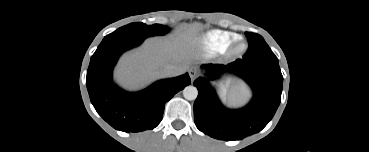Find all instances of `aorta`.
Segmentation results:
<instances>
[{"instance_id": "762f6f07", "label": "aorta", "mask_w": 369, "mask_h": 152, "mask_svg": "<svg viewBox=\"0 0 369 152\" xmlns=\"http://www.w3.org/2000/svg\"><path fill=\"white\" fill-rule=\"evenodd\" d=\"M183 96L187 100H195L198 96V90L195 86H187L183 89Z\"/></svg>"}]
</instances>
